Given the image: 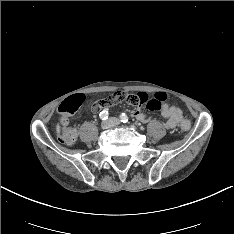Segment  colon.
<instances>
[{"instance_id":"obj_1","label":"colon","mask_w":234,"mask_h":234,"mask_svg":"<svg viewBox=\"0 0 234 234\" xmlns=\"http://www.w3.org/2000/svg\"><path fill=\"white\" fill-rule=\"evenodd\" d=\"M166 99V94L163 92H157L153 97H149L144 92L137 93H127L124 91L115 92L111 98L108 99L109 102L118 103L126 101L128 104L134 107H144L149 110H159L162 103ZM85 98L81 94L73 95L65 99L59 106V115L61 129L59 132V140L66 145H73L77 140V130L69 126V118L78 111V109L83 105ZM103 100H98L94 103L93 109L99 111L102 108ZM191 124L188 120H184L181 123V128L183 130H188Z\"/></svg>"}]
</instances>
